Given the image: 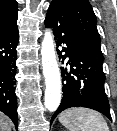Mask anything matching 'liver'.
<instances>
[{"label": "liver", "mask_w": 117, "mask_h": 131, "mask_svg": "<svg viewBox=\"0 0 117 131\" xmlns=\"http://www.w3.org/2000/svg\"><path fill=\"white\" fill-rule=\"evenodd\" d=\"M0 131H11V122L2 112H0Z\"/></svg>", "instance_id": "6515ba94"}]
</instances>
